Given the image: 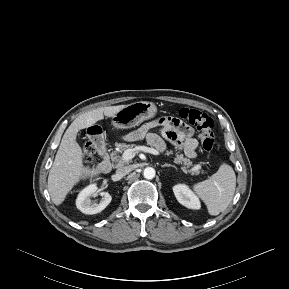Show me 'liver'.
Listing matches in <instances>:
<instances>
[{
	"label": "liver",
	"instance_id": "6515ba94",
	"mask_svg": "<svg viewBox=\"0 0 289 289\" xmlns=\"http://www.w3.org/2000/svg\"><path fill=\"white\" fill-rule=\"evenodd\" d=\"M126 105L97 108L79 115L65 131L48 176L52 202L60 205L69 191L80 181L97 176V168L83 165V152L76 141L77 133L106 117H113Z\"/></svg>",
	"mask_w": 289,
	"mask_h": 289
}]
</instances>
